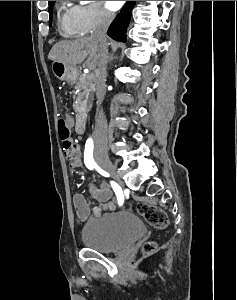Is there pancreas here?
Instances as JSON below:
<instances>
[{
  "label": "pancreas",
  "mask_w": 237,
  "mask_h": 300,
  "mask_svg": "<svg viewBox=\"0 0 237 300\" xmlns=\"http://www.w3.org/2000/svg\"><path fill=\"white\" fill-rule=\"evenodd\" d=\"M95 83V77H93L92 73H82L78 79V83H76L75 89H82L83 95H85V101H82L83 95H78L76 97L74 111L75 113H79L81 117H87V113L89 111L87 105L90 101V95L93 93Z\"/></svg>",
  "instance_id": "1"
}]
</instances>
